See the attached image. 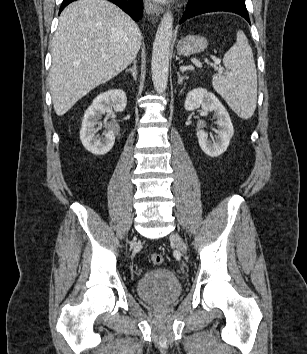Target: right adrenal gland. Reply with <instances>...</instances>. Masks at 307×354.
<instances>
[{
  "instance_id": "right-adrenal-gland-1",
  "label": "right adrenal gland",
  "mask_w": 307,
  "mask_h": 354,
  "mask_svg": "<svg viewBox=\"0 0 307 354\" xmlns=\"http://www.w3.org/2000/svg\"><path fill=\"white\" fill-rule=\"evenodd\" d=\"M126 72H130L132 74L134 80L136 81V79H137V60L133 61V67L127 69Z\"/></svg>"
}]
</instances>
